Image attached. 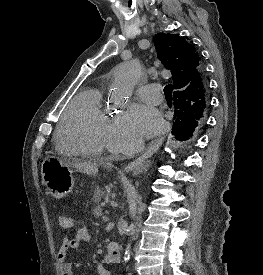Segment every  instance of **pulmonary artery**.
Segmentation results:
<instances>
[{"mask_svg": "<svg viewBox=\"0 0 263 275\" xmlns=\"http://www.w3.org/2000/svg\"><path fill=\"white\" fill-rule=\"evenodd\" d=\"M160 89L159 84L151 83L138 88L137 94L143 101L157 105L162 102Z\"/></svg>", "mask_w": 263, "mask_h": 275, "instance_id": "obj_1", "label": "pulmonary artery"}]
</instances>
